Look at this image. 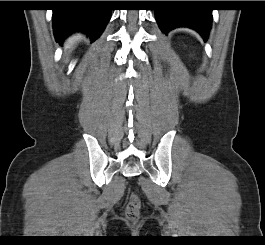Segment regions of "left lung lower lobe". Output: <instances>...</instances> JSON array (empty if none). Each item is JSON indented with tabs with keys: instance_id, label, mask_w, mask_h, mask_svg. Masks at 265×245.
Masks as SVG:
<instances>
[{
	"instance_id": "left-lung-lower-lobe-1",
	"label": "left lung lower lobe",
	"mask_w": 265,
	"mask_h": 245,
	"mask_svg": "<svg viewBox=\"0 0 265 245\" xmlns=\"http://www.w3.org/2000/svg\"><path fill=\"white\" fill-rule=\"evenodd\" d=\"M198 1H174L173 7L156 10V20L162 32L176 27H189L208 39L212 23L211 9L179 8L181 5L197 6Z\"/></svg>"
}]
</instances>
